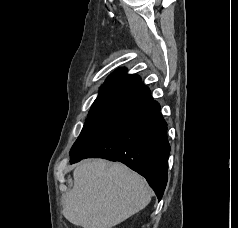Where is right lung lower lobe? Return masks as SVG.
Listing matches in <instances>:
<instances>
[{"label": "right lung lower lobe", "instance_id": "98d812e1", "mask_svg": "<svg viewBox=\"0 0 238 228\" xmlns=\"http://www.w3.org/2000/svg\"><path fill=\"white\" fill-rule=\"evenodd\" d=\"M166 131L160 106L151 101L120 116L70 153L71 162L91 157L120 161L144 176L161 200L170 153Z\"/></svg>", "mask_w": 238, "mask_h": 228}]
</instances>
